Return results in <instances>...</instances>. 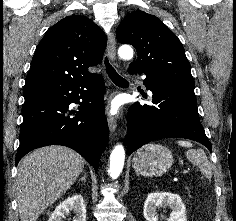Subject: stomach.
I'll return each mask as SVG.
<instances>
[{
	"label": "stomach",
	"instance_id": "0dacf381",
	"mask_svg": "<svg viewBox=\"0 0 236 221\" xmlns=\"http://www.w3.org/2000/svg\"><path fill=\"white\" fill-rule=\"evenodd\" d=\"M173 164L171 151L159 144H147L141 147L133 157V168L142 176H161Z\"/></svg>",
	"mask_w": 236,
	"mask_h": 221
}]
</instances>
